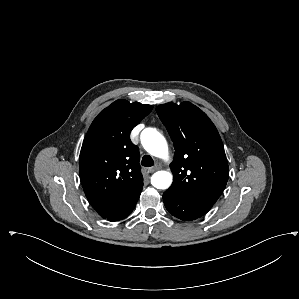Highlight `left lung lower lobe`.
I'll return each instance as SVG.
<instances>
[{"mask_svg": "<svg viewBox=\"0 0 299 299\" xmlns=\"http://www.w3.org/2000/svg\"><path fill=\"white\" fill-rule=\"evenodd\" d=\"M163 200L166 209L173 216L185 221L200 218L209 211L188 201L171 189L163 193Z\"/></svg>", "mask_w": 299, "mask_h": 299, "instance_id": "left-lung-lower-lobe-1", "label": "left lung lower lobe"}]
</instances>
